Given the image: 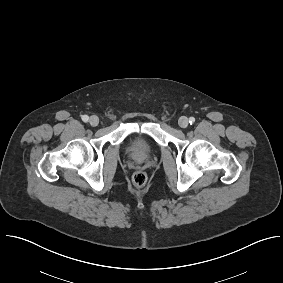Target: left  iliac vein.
Here are the masks:
<instances>
[{
    "label": "left iliac vein",
    "mask_w": 283,
    "mask_h": 283,
    "mask_svg": "<svg viewBox=\"0 0 283 283\" xmlns=\"http://www.w3.org/2000/svg\"><path fill=\"white\" fill-rule=\"evenodd\" d=\"M178 124L181 128H186L189 124V121H188L187 117L183 116L178 120Z\"/></svg>",
    "instance_id": "1"
}]
</instances>
